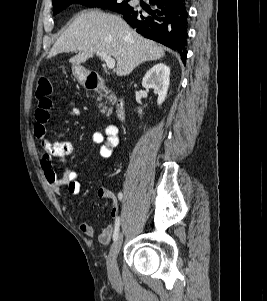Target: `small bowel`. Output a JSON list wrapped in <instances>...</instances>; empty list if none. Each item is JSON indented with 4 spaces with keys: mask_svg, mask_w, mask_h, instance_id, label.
<instances>
[{
    "mask_svg": "<svg viewBox=\"0 0 267 301\" xmlns=\"http://www.w3.org/2000/svg\"><path fill=\"white\" fill-rule=\"evenodd\" d=\"M70 105L72 106L70 114L73 116L78 115L79 109L74 106L73 102H70ZM51 108L52 101L49 97L39 98L34 114V135L40 141L43 148L40 166L50 189L55 194H59L61 188L65 187L70 194L77 195L81 190L79 174L75 169L70 168L67 163V158L73 153L72 143L68 141L51 142L46 136V124L50 117ZM91 140L94 144L100 145V156L108 158L119 144L118 128L110 124L105 128L104 132L93 133ZM55 162H58L63 168L61 176H58L54 170ZM97 196L100 199H108L112 202V221L97 234L98 242L107 244L111 240L112 233L115 230L116 219L119 217V207L114 195L108 188L100 187L97 190ZM79 228L90 237L96 234L94 228L86 222H80Z\"/></svg>",
    "mask_w": 267,
    "mask_h": 301,
    "instance_id": "c3829d8e",
    "label": "small bowel"
}]
</instances>
